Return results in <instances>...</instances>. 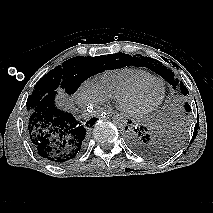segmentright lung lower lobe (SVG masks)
<instances>
[{"label": "right lung lower lobe", "mask_w": 213, "mask_h": 213, "mask_svg": "<svg viewBox=\"0 0 213 213\" xmlns=\"http://www.w3.org/2000/svg\"><path fill=\"white\" fill-rule=\"evenodd\" d=\"M53 91L47 94L27 115L26 128L35 151L53 164L68 163L84 150L87 132L98 120L81 123L55 105Z\"/></svg>", "instance_id": "right-lung-lower-lobe-1"}]
</instances>
